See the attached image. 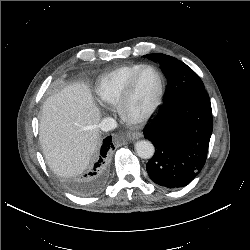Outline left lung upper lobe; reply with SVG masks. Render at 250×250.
Instances as JSON below:
<instances>
[{
  "instance_id": "1",
  "label": "left lung upper lobe",
  "mask_w": 250,
  "mask_h": 250,
  "mask_svg": "<svg viewBox=\"0 0 250 250\" xmlns=\"http://www.w3.org/2000/svg\"><path fill=\"white\" fill-rule=\"evenodd\" d=\"M147 58L158 62L167 78L164 103L186 93L204 89L198 75L176 58L161 53L148 54Z\"/></svg>"
}]
</instances>
